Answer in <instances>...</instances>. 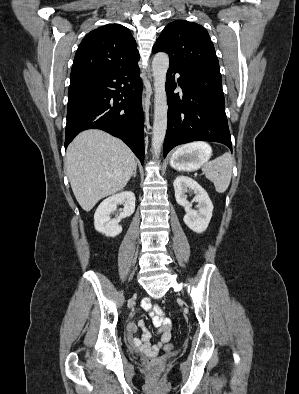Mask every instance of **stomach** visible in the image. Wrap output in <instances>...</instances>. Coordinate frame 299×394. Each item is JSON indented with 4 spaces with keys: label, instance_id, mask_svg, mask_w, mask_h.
<instances>
[{
    "label": "stomach",
    "instance_id": "0dacf381",
    "mask_svg": "<svg viewBox=\"0 0 299 394\" xmlns=\"http://www.w3.org/2000/svg\"><path fill=\"white\" fill-rule=\"evenodd\" d=\"M211 156V149L207 147L179 148L170 158V165L179 171H193L200 168Z\"/></svg>",
    "mask_w": 299,
    "mask_h": 394
}]
</instances>
